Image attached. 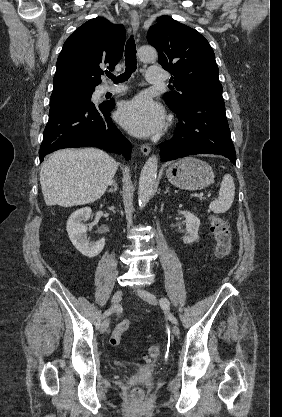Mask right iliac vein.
<instances>
[{
  "instance_id": "1",
  "label": "right iliac vein",
  "mask_w": 282,
  "mask_h": 417,
  "mask_svg": "<svg viewBox=\"0 0 282 417\" xmlns=\"http://www.w3.org/2000/svg\"><path fill=\"white\" fill-rule=\"evenodd\" d=\"M122 296H123V292L121 290L116 291L112 297V305L116 306L122 299ZM109 324H110L109 319H105L101 325V331L106 332L109 327Z\"/></svg>"
}]
</instances>
